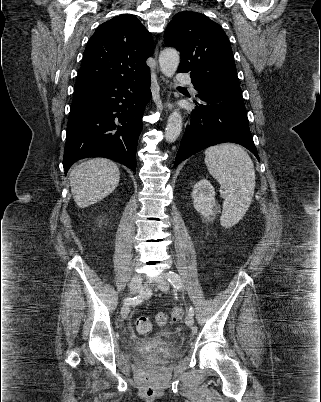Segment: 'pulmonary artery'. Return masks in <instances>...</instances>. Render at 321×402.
Masks as SVG:
<instances>
[{
  "label": "pulmonary artery",
  "instance_id": "obj_1",
  "mask_svg": "<svg viewBox=\"0 0 321 402\" xmlns=\"http://www.w3.org/2000/svg\"><path fill=\"white\" fill-rule=\"evenodd\" d=\"M176 81L180 84H189L191 83V77L188 74H178Z\"/></svg>",
  "mask_w": 321,
  "mask_h": 402
}]
</instances>
